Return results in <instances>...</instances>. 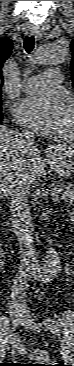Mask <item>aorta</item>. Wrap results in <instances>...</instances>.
Returning a JSON list of instances; mask_svg holds the SVG:
<instances>
[{
  "mask_svg": "<svg viewBox=\"0 0 74 366\" xmlns=\"http://www.w3.org/2000/svg\"><path fill=\"white\" fill-rule=\"evenodd\" d=\"M68 55V49L65 44L59 42L46 43L38 47V49L30 56L28 62L34 66H59L63 64ZM58 256L53 249H49L46 257L47 276L56 273L54 264L57 263Z\"/></svg>",
  "mask_w": 74,
  "mask_h": 366,
  "instance_id": "1",
  "label": "aorta"
}]
</instances>
